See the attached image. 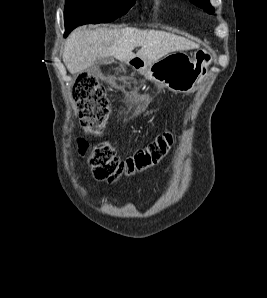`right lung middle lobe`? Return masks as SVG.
Segmentation results:
<instances>
[{"label":"right lung middle lobe","instance_id":"dd1d6c3e","mask_svg":"<svg viewBox=\"0 0 267 298\" xmlns=\"http://www.w3.org/2000/svg\"><path fill=\"white\" fill-rule=\"evenodd\" d=\"M136 0H66V33L87 23H107L126 14Z\"/></svg>","mask_w":267,"mask_h":298}]
</instances>
